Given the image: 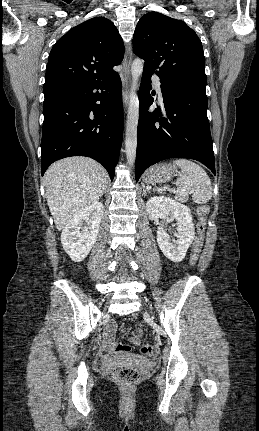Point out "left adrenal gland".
I'll return each instance as SVG.
<instances>
[{
  "instance_id": "1",
  "label": "left adrenal gland",
  "mask_w": 259,
  "mask_h": 431,
  "mask_svg": "<svg viewBox=\"0 0 259 431\" xmlns=\"http://www.w3.org/2000/svg\"><path fill=\"white\" fill-rule=\"evenodd\" d=\"M142 187H143V195H146V193L149 192V189H147L144 184L142 185Z\"/></svg>"
}]
</instances>
